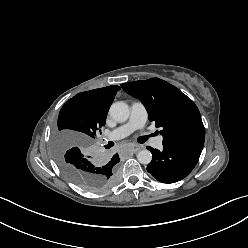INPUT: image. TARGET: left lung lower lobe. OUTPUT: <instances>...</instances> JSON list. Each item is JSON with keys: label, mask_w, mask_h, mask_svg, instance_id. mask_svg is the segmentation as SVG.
<instances>
[{"label": "left lung lower lobe", "mask_w": 248, "mask_h": 248, "mask_svg": "<svg viewBox=\"0 0 248 248\" xmlns=\"http://www.w3.org/2000/svg\"><path fill=\"white\" fill-rule=\"evenodd\" d=\"M204 140L205 135H194L163 144L162 151L147 147L153 156L147 171L162 183L182 180L197 164Z\"/></svg>", "instance_id": "1"}]
</instances>
